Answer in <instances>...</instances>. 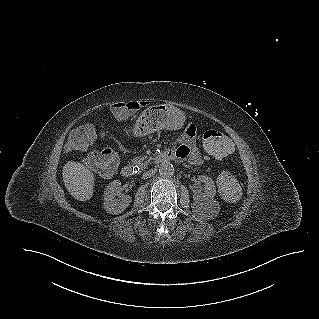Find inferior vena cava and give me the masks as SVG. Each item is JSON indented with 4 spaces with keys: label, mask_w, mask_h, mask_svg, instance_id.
I'll list each match as a JSON object with an SVG mask.
<instances>
[{
    "label": "inferior vena cava",
    "mask_w": 319,
    "mask_h": 319,
    "mask_svg": "<svg viewBox=\"0 0 319 319\" xmlns=\"http://www.w3.org/2000/svg\"><path fill=\"white\" fill-rule=\"evenodd\" d=\"M156 169H151L143 174L144 179H148L156 173Z\"/></svg>",
    "instance_id": "inferior-vena-cava-1"
}]
</instances>
